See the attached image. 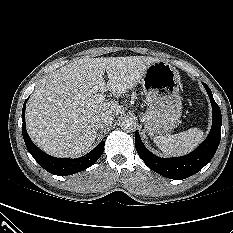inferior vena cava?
Returning <instances> with one entry per match:
<instances>
[{
  "label": "inferior vena cava",
  "instance_id": "1",
  "mask_svg": "<svg viewBox=\"0 0 233 233\" xmlns=\"http://www.w3.org/2000/svg\"><path fill=\"white\" fill-rule=\"evenodd\" d=\"M113 120H114V116L107 113L96 115L93 118L95 127L97 129L108 127L113 123Z\"/></svg>",
  "mask_w": 233,
  "mask_h": 233
}]
</instances>
